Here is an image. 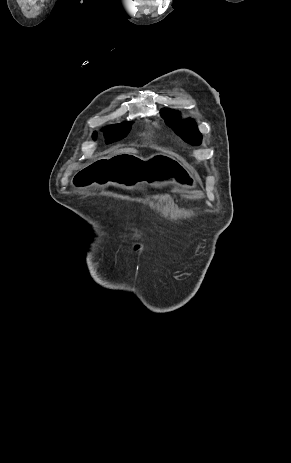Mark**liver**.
<instances>
[{"label":"liver","mask_w":291,"mask_h":463,"mask_svg":"<svg viewBox=\"0 0 291 463\" xmlns=\"http://www.w3.org/2000/svg\"><path fill=\"white\" fill-rule=\"evenodd\" d=\"M138 151L134 148H123V149H119V150H116L112 156L110 157H113V156H117V155H120V154H134V153H137ZM110 157H107V158H110Z\"/></svg>","instance_id":"liver-1"}]
</instances>
